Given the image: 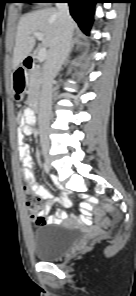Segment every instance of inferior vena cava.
<instances>
[{"label":"inferior vena cava","instance_id":"602c4592","mask_svg":"<svg viewBox=\"0 0 136 296\" xmlns=\"http://www.w3.org/2000/svg\"><path fill=\"white\" fill-rule=\"evenodd\" d=\"M56 6L60 19L59 33L57 41L51 49L48 59L44 65L43 83L38 112L40 139L41 143L46 146H49L48 135L52 114L53 81L66 60L72 39V18L69 13L68 3H57Z\"/></svg>","mask_w":136,"mask_h":296}]
</instances>
